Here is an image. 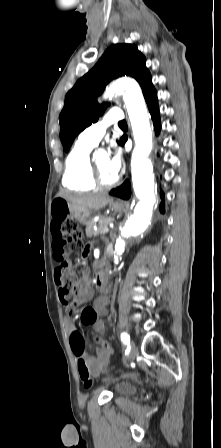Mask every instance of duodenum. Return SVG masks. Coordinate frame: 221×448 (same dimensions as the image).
I'll return each mask as SVG.
<instances>
[{"label": "duodenum", "instance_id": "duodenum-1", "mask_svg": "<svg viewBox=\"0 0 221 448\" xmlns=\"http://www.w3.org/2000/svg\"><path fill=\"white\" fill-rule=\"evenodd\" d=\"M106 284V270L105 266L102 268V270L97 274L96 277V285L99 289H102Z\"/></svg>", "mask_w": 221, "mask_h": 448}]
</instances>
